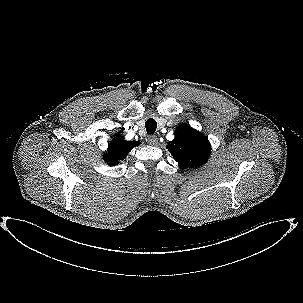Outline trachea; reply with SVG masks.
I'll return each instance as SVG.
<instances>
[{
	"label": "trachea",
	"mask_w": 303,
	"mask_h": 303,
	"mask_svg": "<svg viewBox=\"0 0 303 303\" xmlns=\"http://www.w3.org/2000/svg\"><path fill=\"white\" fill-rule=\"evenodd\" d=\"M147 134H154L157 128V123L154 119L149 118L145 123Z\"/></svg>",
	"instance_id": "1"
}]
</instances>
